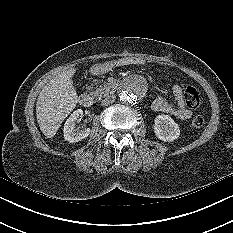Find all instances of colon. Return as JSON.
<instances>
[{
    "label": "colon",
    "instance_id": "1",
    "mask_svg": "<svg viewBox=\"0 0 233 233\" xmlns=\"http://www.w3.org/2000/svg\"><path fill=\"white\" fill-rule=\"evenodd\" d=\"M185 103L188 107L196 109L201 105V96L198 89L195 86L188 85L184 91ZM205 123L204 118L201 115L195 116L191 122L190 126L194 129L201 128Z\"/></svg>",
    "mask_w": 233,
    "mask_h": 233
}]
</instances>
